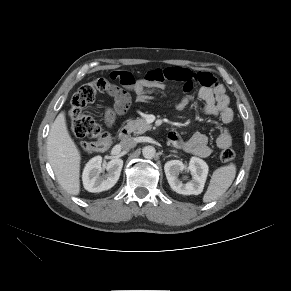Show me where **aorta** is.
Instances as JSON below:
<instances>
[{"instance_id":"762f6f07","label":"aorta","mask_w":291,"mask_h":291,"mask_svg":"<svg viewBox=\"0 0 291 291\" xmlns=\"http://www.w3.org/2000/svg\"><path fill=\"white\" fill-rule=\"evenodd\" d=\"M143 156L146 159H152L156 155V150L153 146H146L142 150Z\"/></svg>"}]
</instances>
